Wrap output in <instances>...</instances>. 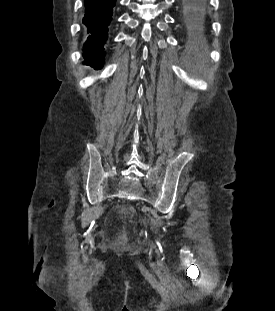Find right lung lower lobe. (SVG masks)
<instances>
[{"label": "right lung lower lobe", "mask_w": 275, "mask_h": 311, "mask_svg": "<svg viewBox=\"0 0 275 311\" xmlns=\"http://www.w3.org/2000/svg\"><path fill=\"white\" fill-rule=\"evenodd\" d=\"M115 1L85 0L83 24L86 26L88 38L84 44V64L90 65L95 69H101L104 63V45Z\"/></svg>", "instance_id": "right-lung-lower-lobe-1"}]
</instances>
